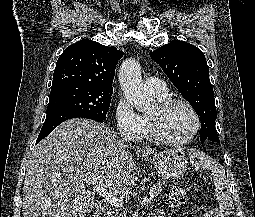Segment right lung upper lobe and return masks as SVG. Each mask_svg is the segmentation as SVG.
Wrapping results in <instances>:
<instances>
[{
  "instance_id": "cb5924a9",
  "label": "right lung upper lobe",
  "mask_w": 255,
  "mask_h": 217,
  "mask_svg": "<svg viewBox=\"0 0 255 217\" xmlns=\"http://www.w3.org/2000/svg\"><path fill=\"white\" fill-rule=\"evenodd\" d=\"M123 52L98 42L83 39L70 45L58 58L52 87L82 85L113 89L115 67Z\"/></svg>"
}]
</instances>
